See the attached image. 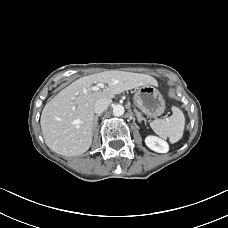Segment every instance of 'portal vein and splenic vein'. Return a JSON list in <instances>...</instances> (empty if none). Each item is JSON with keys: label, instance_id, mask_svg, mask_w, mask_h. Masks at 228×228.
Returning <instances> with one entry per match:
<instances>
[{"label": "portal vein and splenic vein", "instance_id": "portal-vein-and-splenic-vein-1", "mask_svg": "<svg viewBox=\"0 0 228 228\" xmlns=\"http://www.w3.org/2000/svg\"><path fill=\"white\" fill-rule=\"evenodd\" d=\"M99 88H104V84L103 83H98L96 86L92 87V91H98Z\"/></svg>", "mask_w": 228, "mask_h": 228}]
</instances>
